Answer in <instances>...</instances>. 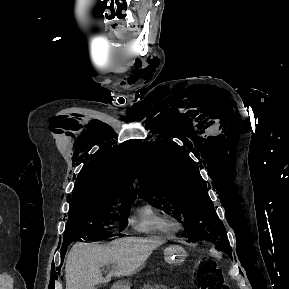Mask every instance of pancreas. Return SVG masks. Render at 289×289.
Returning <instances> with one entry per match:
<instances>
[{
  "instance_id": "1",
  "label": "pancreas",
  "mask_w": 289,
  "mask_h": 289,
  "mask_svg": "<svg viewBox=\"0 0 289 289\" xmlns=\"http://www.w3.org/2000/svg\"><path fill=\"white\" fill-rule=\"evenodd\" d=\"M161 287H162V286H159V285H153V286H151V285L147 284V285H145L142 289H161Z\"/></svg>"
}]
</instances>
